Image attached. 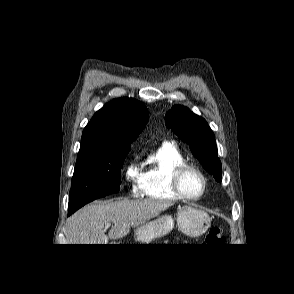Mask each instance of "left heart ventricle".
<instances>
[{
  "instance_id": "b2bd125f",
  "label": "left heart ventricle",
  "mask_w": 294,
  "mask_h": 294,
  "mask_svg": "<svg viewBox=\"0 0 294 294\" xmlns=\"http://www.w3.org/2000/svg\"><path fill=\"white\" fill-rule=\"evenodd\" d=\"M183 191L189 196H196L201 192L202 180L193 171H187L181 181Z\"/></svg>"
}]
</instances>
